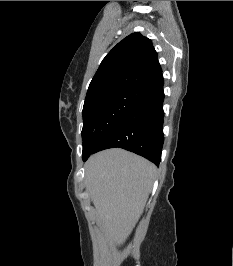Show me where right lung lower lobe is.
<instances>
[{
    "label": "right lung lower lobe",
    "mask_w": 233,
    "mask_h": 266,
    "mask_svg": "<svg viewBox=\"0 0 233 266\" xmlns=\"http://www.w3.org/2000/svg\"><path fill=\"white\" fill-rule=\"evenodd\" d=\"M163 84L162 81L146 92L144 98L101 141L99 146L91 153L83 156V161L100 150L120 147L159 165L164 142Z\"/></svg>",
    "instance_id": "obj_1"
}]
</instances>
